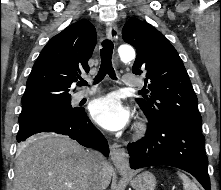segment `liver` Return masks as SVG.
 Returning a JSON list of instances; mask_svg holds the SVG:
<instances>
[{
    "label": "liver",
    "mask_w": 221,
    "mask_h": 190,
    "mask_svg": "<svg viewBox=\"0 0 221 190\" xmlns=\"http://www.w3.org/2000/svg\"><path fill=\"white\" fill-rule=\"evenodd\" d=\"M89 152L77 142L55 134L31 137L18 150L13 190H88ZM112 173V165L105 162L103 190L109 186Z\"/></svg>",
    "instance_id": "liver-1"
}]
</instances>
